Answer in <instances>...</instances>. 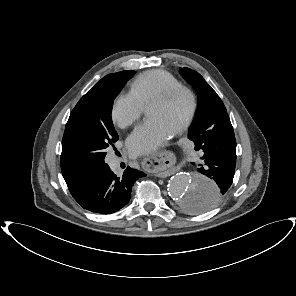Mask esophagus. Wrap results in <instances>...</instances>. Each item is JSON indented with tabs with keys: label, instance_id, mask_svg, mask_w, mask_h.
Returning a JSON list of instances; mask_svg holds the SVG:
<instances>
[{
	"label": "esophagus",
	"instance_id": "obj_1",
	"mask_svg": "<svg viewBox=\"0 0 296 296\" xmlns=\"http://www.w3.org/2000/svg\"><path fill=\"white\" fill-rule=\"evenodd\" d=\"M173 154V159L158 160V155H170ZM183 159V152L177 146H169L164 151H155L150 154L145 160L146 169L153 175L159 176L166 174L170 171L172 165L179 164Z\"/></svg>",
	"mask_w": 296,
	"mask_h": 296
}]
</instances>
